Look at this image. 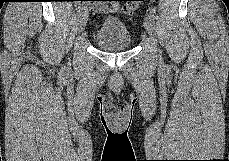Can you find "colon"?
I'll use <instances>...</instances> for the list:
<instances>
[{
    "instance_id": "5ec220e1",
    "label": "colon",
    "mask_w": 229,
    "mask_h": 161,
    "mask_svg": "<svg viewBox=\"0 0 229 161\" xmlns=\"http://www.w3.org/2000/svg\"><path fill=\"white\" fill-rule=\"evenodd\" d=\"M139 6V0H129L123 5L122 11L126 15H132Z\"/></svg>"
}]
</instances>
